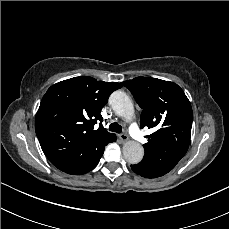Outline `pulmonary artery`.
Masks as SVG:
<instances>
[{"instance_id": "pulmonary-artery-1", "label": "pulmonary artery", "mask_w": 229, "mask_h": 229, "mask_svg": "<svg viewBox=\"0 0 229 229\" xmlns=\"http://www.w3.org/2000/svg\"><path fill=\"white\" fill-rule=\"evenodd\" d=\"M126 122L130 123L129 130L133 134L134 138L139 142L144 141L146 138V135H145L143 130L139 129V125L135 121L133 115H132L131 119L126 121Z\"/></svg>"}]
</instances>
